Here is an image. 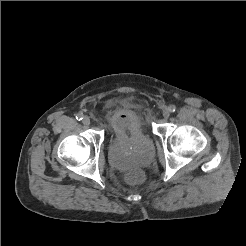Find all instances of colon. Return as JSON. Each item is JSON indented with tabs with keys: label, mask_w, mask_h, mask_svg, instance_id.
Instances as JSON below:
<instances>
[{
	"label": "colon",
	"mask_w": 246,
	"mask_h": 246,
	"mask_svg": "<svg viewBox=\"0 0 246 246\" xmlns=\"http://www.w3.org/2000/svg\"><path fill=\"white\" fill-rule=\"evenodd\" d=\"M142 178L143 177L141 172L137 170L131 171L127 174V180L133 184L140 183L142 181Z\"/></svg>",
	"instance_id": "1"
}]
</instances>
